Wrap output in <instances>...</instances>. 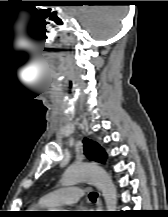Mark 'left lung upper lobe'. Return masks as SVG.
I'll return each instance as SVG.
<instances>
[{
    "label": "left lung upper lobe",
    "instance_id": "obj_1",
    "mask_svg": "<svg viewBox=\"0 0 168 217\" xmlns=\"http://www.w3.org/2000/svg\"><path fill=\"white\" fill-rule=\"evenodd\" d=\"M84 143V154L93 161L104 163L106 160V153L103 148L95 141L85 138Z\"/></svg>",
    "mask_w": 168,
    "mask_h": 217
}]
</instances>
